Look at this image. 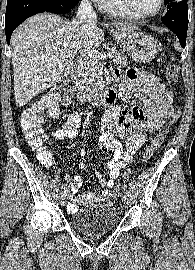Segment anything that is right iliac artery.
I'll return each instance as SVG.
<instances>
[{"label":"right iliac artery","mask_w":195,"mask_h":270,"mask_svg":"<svg viewBox=\"0 0 195 270\" xmlns=\"http://www.w3.org/2000/svg\"><path fill=\"white\" fill-rule=\"evenodd\" d=\"M62 193H65V186L62 187Z\"/></svg>","instance_id":"obj_1"}]
</instances>
